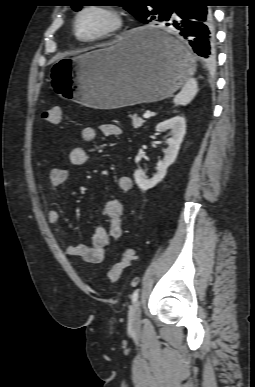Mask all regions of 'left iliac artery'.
Segmentation results:
<instances>
[{
  "instance_id": "1",
  "label": "left iliac artery",
  "mask_w": 255,
  "mask_h": 387,
  "mask_svg": "<svg viewBox=\"0 0 255 387\" xmlns=\"http://www.w3.org/2000/svg\"><path fill=\"white\" fill-rule=\"evenodd\" d=\"M138 295H139V290L136 289V290L133 292L132 297H131L133 302H136V301H137Z\"/></svg>"
}]
</instances>
